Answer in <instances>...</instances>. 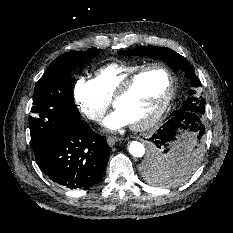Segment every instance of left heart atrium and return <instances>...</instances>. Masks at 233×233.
<instances>
[{"instance_id": "left-heart-atrium-1", "label": "left heart atrium", "mask_w": 233, "mask_h": 233, "mask_svg": "<svg viewBox=\"0 0 233 233\" xmlns=\"http://www.w3.org/2000/svg\"><path fill=\"white\" fill-rule=\"evenodd\" d=\"M128 124H130L129 121L119 110L113 112L104 121V127L108 130H118Z\"/></svg>"}]
</instances>
